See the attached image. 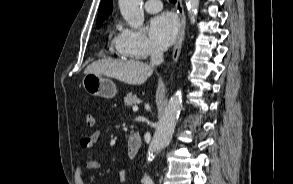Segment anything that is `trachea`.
Wrapping results in <instances>:
<instances>
[{
  "label": "trachea",
  "mask_w": 293,
  "mask_h": 184,
  "mask_svg": "<svg viewBox=\"0 0 293 184\" xmlns=\"http://www.w3.org/2000/svg\"><path fill=\"white\" fill-rule=\"evenodd\" d=\"M169 1L172 2V3H176L177 0H169Z\"/></svg>",
  "instance_id": "1"
}]
</instances>
